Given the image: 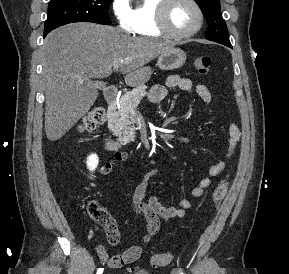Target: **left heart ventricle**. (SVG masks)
Segmentation results:
<instances>
[{
  "label": "left heart ventricle",
  "instance_id": "b2bd125f",
  "mask_svg": "<svg viewBox=\"0 0 289 274\" xmlns=\"http://www.w3.org/2000/svg\"><path fill=\"white\" fill-rule=\"evenodd\" d=\"M169 23L176 31H189L197 25L198 15L188 0H175L169 10Z\"/></svg>",
  "mask_w": 289,
  "mask_h": 274
}]
</instances>
